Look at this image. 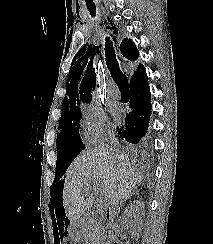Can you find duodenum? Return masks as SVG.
<instances>
[{"instance_id": "duodenum-1", "label": "duodenum", "mask_w": 213, "mask_h": 244, "mask_svg": "<svg viewBox=\"0 0 213 244\" xmlns=\"http://www.w3.org/2000/svg\"><path fill=\"white\" fill-rule=\"evenodd\" d=\"M105 220L109 223L110 222V217L106 216L105 217ZM113 239H114V235L113 234H110L109 235V244H113Z\"/></svg>"}]
</instances>
